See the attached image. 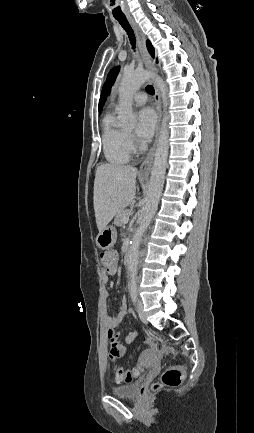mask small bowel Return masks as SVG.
I'll return each mask as SVG.
<instances>
[{
  "mask_svg": "<svg viewBox=\"0 0 254 433\" xmlns=\"http://www.w3.org/2000/svg\"><path fill=\"white\" fill-rule=\"evenodd\" d=\"M105 282H107V279H105ZM105 295L107 296L108 293L105 292ZM127 314V301L125 298L122 299L120 302L117 311L114 315H104L102 318V326L105 330L107 339L109 341V358L112 361H115L116 359L122 358L126 351V346L130 343H132L135 338L138 335L137 331H130L124 340H120L119 333L115 331V328L121 323L122 319ZM147 351H150L154 357L157 355L156 348L154 346H150L147 348ZM122 382V381H118Z\"/></svg>",
  "mask_w": 254,
  "mask_h": 433,
  "instance_id": "obj_1",
  "label": "small bowel"
}]
</instances>
